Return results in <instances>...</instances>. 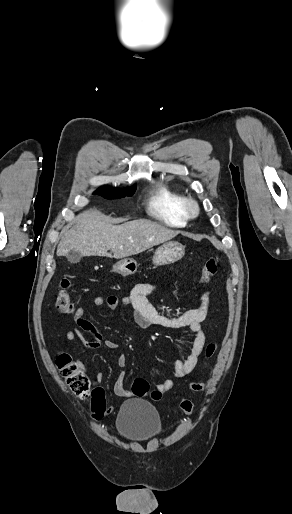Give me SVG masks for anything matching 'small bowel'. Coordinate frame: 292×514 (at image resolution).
Masks as SVG:
<instances>
[{"label":"small bowel","instance_id":"obj_1","mask_svg":"<svg viewBox=\"0 0 292 514\" xmlns=\"http://www.w3.org/2000/svg\"><path fill=\"white\" fill-rule=\"evenodd\" d=\"M156 283H139L136 284L129 295L118 297L116 295H109L107 297L96 296L92 303L95 307L107 306L111 310L117 309L120 305L128 307L131 311L135 323L140 328H150L152 326L161 327L164 329H178L187 327L194 333V338L189 342L188 353L184 360H178L174 363L173 376L176 379H181L188 376L196 367L198 357L202 352L205 344V333L202 328V322L207 318L209 309V292L206 291L201 295L200 304L198 307L189 309L175 316L165 315L159 312L156 307L148 300V295L153 293L157 288ZM74 329L65 333V339L72 344L78 338L83 341V344L88 349H98L104 345L111 351L119 349V344L113 340H103V336L96 326L85 317L84 307H78L73 315ZM82 332H87L92 335V339H83ZM70 350V346L68 347ZM127 363V356L120 354L117 359L119 367H124ZM77 369L83 371L87 369L81 360L76 362ZM103 378L102 372L98 371L94 374L96 381H101ZM125 375L121 374L117 377L114 383V393L121 398H129L133 394L124 386ZM174 382L172 379L164 380L157 384L156 390L161 393L167 392L172 389ZM109 414L114 412V406L110 405L107 409Z\"/></svg>","mask_w":292,"mask_h":514}]
</instances>
